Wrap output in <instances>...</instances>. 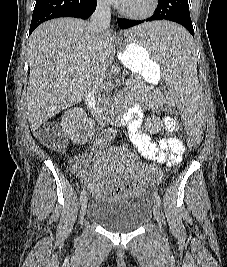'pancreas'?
<instances>
[{
  "label": "pancreas",
  "instance_id": "obj_1",
  "mask_svg": "<svg viewBox=\"0 0 227 267\" xmlns=\"http://www.w3.org/2000/svg\"><path fill=\"white\" fill-rule=\"evenodd\" d=\"M127 85L130 90L139 93L141 91H148L151 89L150 86H147L145 83H143L140 79H129L127 82Z\"/></svg>",
  "mask_w": 227,
  "mask_h": 267
}]
</instances>
